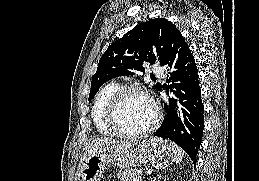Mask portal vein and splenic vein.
Returning <instances> with one entry per match:
<instances>
[{
	"label": "portal vein and splenic vein",
	"instance_id": "1",
	"mask_svg": "<svg viewBox=\"0 0 259 181\" xmlns=\"http://www.w3.org/2000/svg\"><path fill=\"white\" fill-rule=\"evenodd\" d=\"M133 181H142V177L139 176V177H137V178H134Z\"/></svg>",
	"mask_w": 259,
	"mask_h": 181
}]
</instances>
